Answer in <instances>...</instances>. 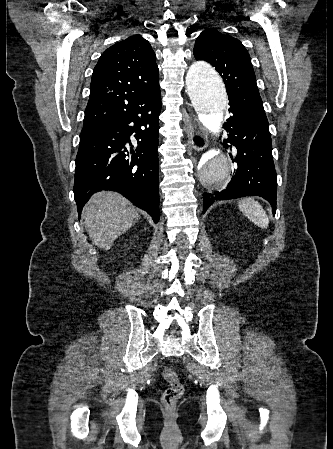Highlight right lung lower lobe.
Instances as JSON below:
<instances>
[{
  "mask_svg": "<svg viewBox=\"0 0 333 449\" xmlns=\"http://www.w3.org/2000/svg\"><path fill=\"white\" fill-rule=\"evenodd\" d=\"M160 112L156 94L117 118L82 129L73 188L79 215L94 192L113 190L159 221Z\"/></svg>",
  "mask_w": 333,
  "mask_h": 449,
  "instance_id": "obj_1",
  "label": "right lung lower lobe"
}]
</instances>
